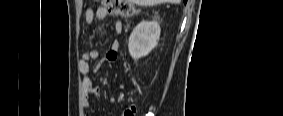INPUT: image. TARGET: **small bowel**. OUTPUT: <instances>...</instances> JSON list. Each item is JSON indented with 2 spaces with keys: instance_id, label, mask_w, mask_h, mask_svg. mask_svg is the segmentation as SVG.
I'll return each instance as SVG.
<instances>
[{
  "instance_id": "obj_1",
  "label": "small bowel",
  "mask_w": 283,
  "mask_h": 116,
  "mask_svg": "<svg viewBox=\"0 0 283 116\" xmlns=\"http://www.w3.org/2000/svg\"><path fill=\"white\" fill-rule=\"evenodd\" d=\"M108 17L109 13L107 9L102 6H97L94 3L90 4L84 14L85 24L87 27L91 26L95 19L105 20ZM114 29L117 34H120L122 32L123 25L120 20L115 21ZM118 49V40L112 39L104 58L99 59V52L94 49L82 54L78 62V68L84 75V79L82 81V91L84 96L83 105L85 108H88L90 106L89 100L91 97H98L100 94L99 88L94 86L92 80L89 78V73L96 72L100 68L102 62L114 61L116 59ZM93 60H98V63L93 68H91L90 62Z\"/></svg>"
}]
</instances>
